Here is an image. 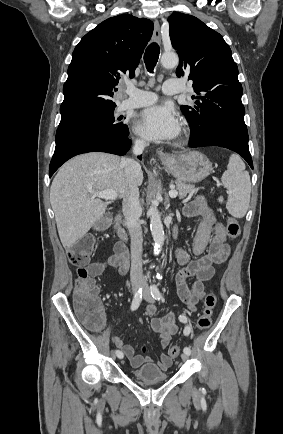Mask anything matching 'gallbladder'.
<instances>
[{
    "instance_id": "gallbladder-1",
    "label": "gallbladder",
    "mask_w": 283,
    "mask_h": 434,
    "mask_svg": "<svg viewBox=\"0 0 283 434\" xmlns=\"http://www.w3.org/2000/svg\"><path fill=\"white\" fill-rule=\"evenodd\" d=\"M110 226V218H101L94 224V229L105 230Z\"/></svg>"
}]
</instances>
